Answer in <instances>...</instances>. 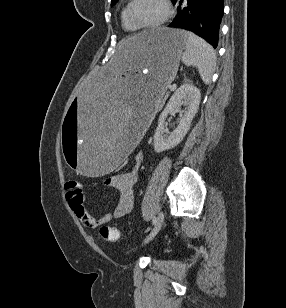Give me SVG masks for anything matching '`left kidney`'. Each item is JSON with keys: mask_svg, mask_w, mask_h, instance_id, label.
Masks as SVG:
<instances>
[{"mask_svg": "<svg viewBox=\"0 0 286 308\" xmlns=\"http://www.w3.org/2000/svg\"><path fill=\"white\" fill-rule=\"evenodd\" d=\"M200 98L199 89L192 84L185 83L175 91L158 119V126L154 134V151L156 153L171 149L183 140L198 111ZM181 103L186 106V111L180 112L177 128L169 133L165 128V120L169 113L179 110Z\"/></svg>", "mask_w": 286, "mask_h": 308, "instance_id": "obj_1", "label": "left kidney"}]
</instances>
